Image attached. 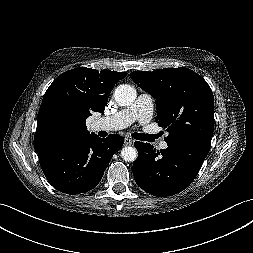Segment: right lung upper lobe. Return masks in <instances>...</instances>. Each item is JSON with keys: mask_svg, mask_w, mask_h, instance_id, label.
I'll use <instances>...</instances> for the list:
<instances>
[{"mask_svg": "<svg viewBox=\"0 0 253 253\" xmlns=\"http://www.w3.org/2000/svg\"><path fill=\"white\" fill-rule=\"evenodd\" d=\"M127 73L79 67L62 73L47 89L37 117L34 148L77 141L96 134L86 129L91 112H104L114 85Z\"/></svg>", "mask_w": 253, "mask_h": 253, "instance_id": "right-lung-upper-lobe-1", "label": "right lung upper lobe"}]
</instances>
